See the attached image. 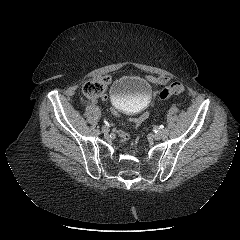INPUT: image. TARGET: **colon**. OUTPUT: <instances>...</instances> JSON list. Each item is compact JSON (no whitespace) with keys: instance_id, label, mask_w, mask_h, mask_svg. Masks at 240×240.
Wrapping results in <instances>:
<instances>
[{"instance_id":"1","label":"colon","mask_w":240,"mask_h":240,"mask_svg":"<svg viewBox=\"0 0 240 240\" xmlns=\"http://www.w3.org/2000/svg\"><path fill=\"white\" fill-rule=\"evenodd\" d=\"M106 82L104 79H93L88 81L84 87L83 92L88 98H99L105 92ZM184 91V86L180 82H173L169 86L162 89L158 96L161 100H166L171 95H177Z\"/></svg>"}]
</instances>
